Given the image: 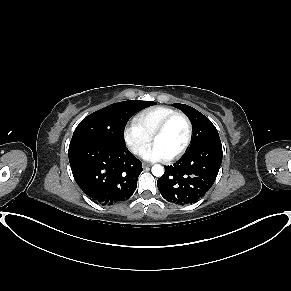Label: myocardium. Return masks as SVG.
<instances>
[{
    "mask_svg": "<svg viewBox=\"0 0 291 291\" xmlns=\"http://www.w3.org/2000/svg\"><path fill=\"white\" fill-rule=\"evenodd\" d=\"M178 117L182 118L184 120V122L186 123L187 137H186V140H185L183 146L175 154H173L169 159H177V158L181 157L187 151L188 147L190 146L192 136H193V127H192V123H191L190 119L188 118V116L182 112H175V113L169 115L161 122V124L157 127V129L155 130V132L152 135V140L154 141L158 136L163 134L166 131V129L168 128V126L170 125V123L175 118H178Z\"/></svg>",
    "mask_w": 291,
    "mask_h": 291,
    "instance_id": "obj_1",
    "label": "myocardium"
}]
</instances>
